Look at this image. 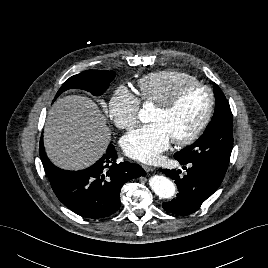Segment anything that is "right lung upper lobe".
Segmentation results:
<instances>
[{
  "mask_svg": "<svg viewBox=\"0 0 268 268\" xmlns=\"http://www.w3.org/2000/svg\"><path fill=\"white\" fill-rule=\"evenodd\" d=\"M39 153H40V158L42 160V163H44L45 165H48V158L45 154V151L43 148H39Z\"/></svg>",
  "mask_w": 268,
  "mask_h": 268,
  "instance_id": "cb5924a9",
  "label": "right lung upper lobe"
}]
</instances>
